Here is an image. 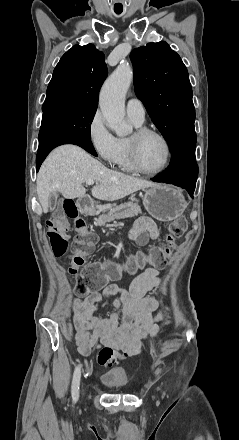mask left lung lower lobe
Returning a JSON list of instances; mask_svg holds the SVG:
<instances>
[{
    "instance_id": "1",
    "label": "left lung lower lobe",
    "mask_w": 239,
    "mask_h": 440,
    "mask_svg": "<svg viewBox=\"0 0 239 440\" xmlns=\"http://www.w3.org/2000/svg\"><path fill=\"white\" fill-rule=\"evenodd\" d=\"M195 145L196 138L179 144L171 151L172 159L167 172L152 180L180 186L186 189L190 196L193 197L198 176V166L195 160Z\"/></svg>"
}]
</instances>
